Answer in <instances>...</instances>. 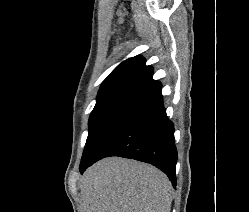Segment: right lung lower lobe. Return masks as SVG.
<instances>
[{
  "label": "right lung lower lobe",
  "mask_w": 249,
  "mask_h": 212,
  "mask_svg": "<svg viewBox=\"0 0 249 212\" xmlns=\"http://www.w3.org/2000/svg\"><path fill=\"white\" fill-rule=\"evenodd\" d=\"M108 156L150 163L176 186L174 126L167 118L161 87L137 97L116 117L80 165V172Z\"/></svg>",
  "instance_id": "obj_1"
}]
</instances>
